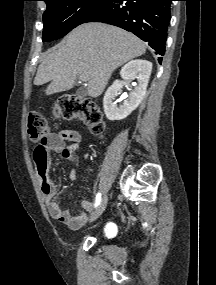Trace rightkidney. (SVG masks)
<instances>
[{
    "mask_svg": "<svg viewBox=\"0 0 216 285\" xmlns=\"http://www.w3.org/2000/svg\"><path fill=\"white\" fill-rule=\"evenodd\" d=\"M151 71L152 63L141 59L132 60L122 67L120 75L123 81L116 80L107 89L103 98L104 112L109 120H122L139 106L146 93ZM134 79H137V83L130 92L128 99L124 100L123 104L117 106L114 100L121 93L123 83L129 84Z\"/></svg>",
    "mask_w": 216,
    "mask_h": 285,
    "instance_id": "obj_1",
    "label": "right kidney"
}]
</instances>
